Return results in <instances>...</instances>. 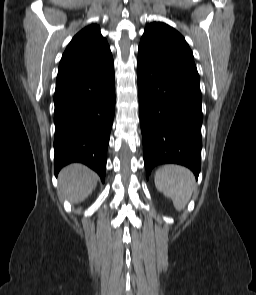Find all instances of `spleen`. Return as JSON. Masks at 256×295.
Here are the masks:
<instances>
[{"label": "spleen", "instance_id": "spleen-1", "mask_svg": "<svg viewBox=\"0 0 256 295\" xmlns=\"http://www.w3.org/2000/svg\"><path fill=\"white\" fill-rule=\"evenodd\" d=\"M154 183L159 192L171 198L176 210L181 211L191 198L195 179L187 168L165 165L156 171Z\"/></svg>", "mask_w": 256, "mask_h": 295}]
</instances>
